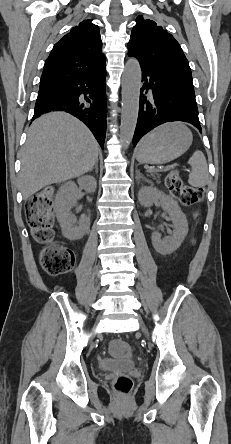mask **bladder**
<instances>
[{"mask_svg": "<svg viewBox=\"0 0 231 444\" xmlns=\"http://www.w3.org/2000/svg\"><path fill=\"white\" fill-rule=\"evenodd\" d=\"M97 367L101 371H131L136 367V363L118 359H102Z\"/></svg>", "mask_w": 231, "mask_h": 444, "instance_id": "bladder-1", "label": "bladder"}]
</instances>
